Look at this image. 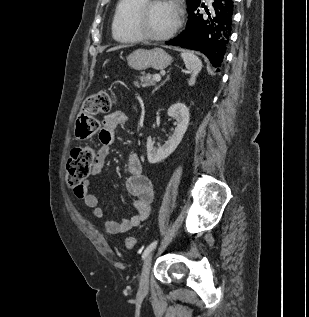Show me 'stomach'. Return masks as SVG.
<instances>
[{
	"mask_svg": "<svg viewBox=\"0 0 309 317\" xmlns=\"http://www.w3.org/2000/svg\"><path fill=\"white\" fill-rule=\"evenodd\" d=\"M171 62V56L161 48L137 49L127 57L128 66L138 71L147 68L162 70L168 67Z\"/></svg>",
	"mask_w": 309,
	"mask_h": 317,
	"instance_id": "obj_1",
	"label": "stomach"
}]
</instances>
